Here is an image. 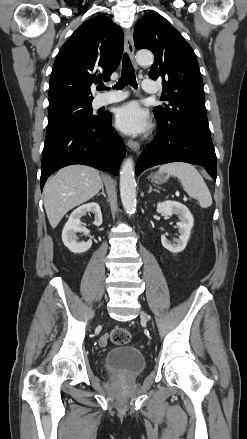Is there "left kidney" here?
<instances>
[{
	"instance_id": "obj_1",
	"label": "left kidney",
	"mask_w": 247,
	"mask_h": 439,
	"mask_svg": "<svg viewBox=\"0 0 247 439\" xmlns=\"http://www.w3.org/2000/svg\"><path fill=\"white\" fill-rule=\"evenodd\" d=\"M157 212L165 215H177L179 222L177 226L179 228V238L174 239V242L169 241L165 235L161 236V243L164 248L172 253H179L183 251L190 238L191 230L194 225V219L189 209L176 201L167 200L159 202L157 204Z\"/></svg>"
}]
</instances>
